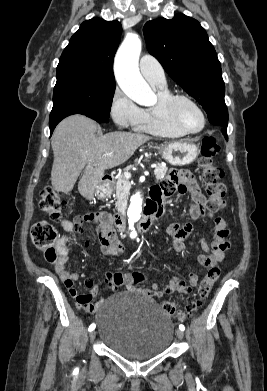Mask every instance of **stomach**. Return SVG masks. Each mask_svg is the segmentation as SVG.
<instances>
[{"label": "stomach", "mask_w": 267, "mask_h": 391, "mask_svg": "<svg viewBox=\"0 0 267 391\" xmlns=\"http://www.w3.org/2000/svg\"><path fill=\"white\" fill-rule=\"evenodd\" d=\"M162 157L174 166L191 164L199 155L198 146L188 141H178L157 148ZM113 188L108 183H102L95 189V196L99 199L109 196Z\"/></svg>", "instance_id": "stomach-1"}]
</instances>
